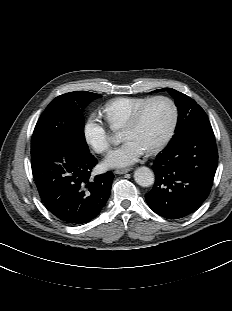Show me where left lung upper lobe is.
<instances>
[{"label":"left lung upper lobe","instance_id":"1","mask_svg":"<svg viewBox=\"0 0 232 311\" xmlns=\"http://www.w3.org/2000/svg\"><path fill=\"white\" fill-rule=\"evenodd\" d=\"M165 90H167L171 94V96H173L179 113L177 126L175 129V135L173 136L172 140H174L178 135L187 131L191 127L209 121L204 110L187 95L172 88H163L156 91Z\"/></svg>","mask_w":232,"mask_h":311}]
</instances>
